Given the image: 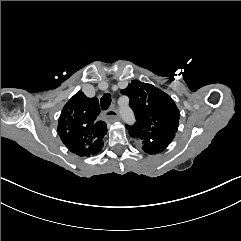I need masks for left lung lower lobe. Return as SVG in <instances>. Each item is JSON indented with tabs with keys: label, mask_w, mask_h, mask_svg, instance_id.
<instances>
[{
	"label": "left lung lower lobe",
	"mask_w": 241,
	"mask_h": 241,
	"mask_svg": "<svg viewBox=\"0 0 241 241\" xmlns=\"http://www.w3.org/2000/svg\"><path fill=\"white\" fill-rule=\"evenodd\" d=\"M174 136H175V135H172V136L168 137L169 143L173 140Z\"/></svg>",
	"instance_id": "left-lung-lower-lobe-1"
}]
</instances>
